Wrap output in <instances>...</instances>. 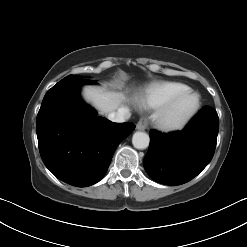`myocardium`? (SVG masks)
<instances>
[{
    "label": "myocardium",
    "instance_id": "obj_1",
    "mask_svg": "<svg viewBox=\"0 0 247 247\" xmlns=\"http://www.w3.org/2000/svg\"><path fill=\"white\" fill-rule=\"evenodd\" d=\"M186 97H193L194 103L183 115L175 117L177 105ZM201 107V96L198 92L188 89L173 96L158 108L155 114V125L164 133H175L185 129L197 115Z\"/></svg>",
    "mask_w": 247,
    "mask_h": 247
}]
</instances>
